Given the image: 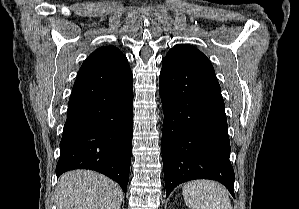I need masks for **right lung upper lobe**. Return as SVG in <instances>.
Returning a JSON list of instances; mask_svg holds the SVG:
<instances>
[{
	"instance_id": "right-lung-upper-lobe-1",
	"label": "right lung upper lobe",
	"mask_w": 299,
	"mask_h": 209,
	"mask_svg": "<svg viewBox=\"0 0 299 209\" xmlns=\"http://www.w3.org/2000/svg\"><path fill=\"white\" fill-rule=\"evenodd\" d=\"M111 69L119 76L131 73L128 61L123 53L113 46H104L96 49L83 62L79 72H93Z\"/></svg>"
}]
</instances>
